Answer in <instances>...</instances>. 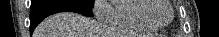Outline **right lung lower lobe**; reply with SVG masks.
<instances>
[{
	"label": "right lung lower lobe",
	"instance_id": "98d812e1",
	"mask_svg": "<svg viewBox=\"0 0 219 37\" xmlns=\"http://www.w3.org/2000/svg\"><path fill=\"white\" fill-rule=\"evenodd\" d=\"M76 12L87 17H91L92 8L84 6L76 1L67 0H44L31 4L30 8V33L32 34L36 26L47 16L58 12Z\"/></svg>",
	"mask_w": 219,
	"mask_h": 37
}]
</instances>
